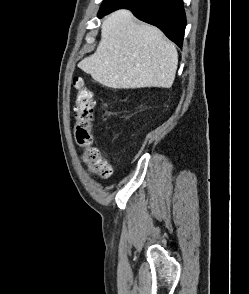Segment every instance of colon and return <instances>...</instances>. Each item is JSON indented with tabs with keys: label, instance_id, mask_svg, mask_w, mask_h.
<instances>
[{
	"label": "colon",
	"instance_id": "5ec220e1",
	"mask_svg": "<svg viewBox=\"0 0 249 294\" xmlns=\"http://www.w3.org/2000/svg\"><path fill=\"white\" fill-rule=\"evenodd\" d=\"M76 89L74 105V136L76 145L83 151L82 158L90 171L101 179L111 176L112 168L109 160L104 157L95 145L93 132L94 106L93 94L85 82L74 78Z\"/></svg>",
	"mask_w": 249,
	"mask_h": 294
}]
</instances>
